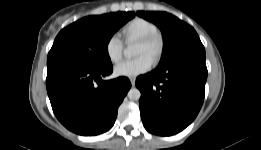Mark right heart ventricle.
<instances>
[{"mask_svg": "<svg viewBox=\"0 0 261 150\" xmlns=\"http://www.w3.org/2000/svg\"><path fill=\"white\" fill-rule=\"evenodd\" d=\"M124 39L127 42L138 40L146 35L158 32V28L152 21L136 17L127 22L121 29Z\"/></svg>", "mask_w": 261, "mask_h": 150, "instance_id": "e07e8e85", "label": "right heart ventricle"}]
</instances>
